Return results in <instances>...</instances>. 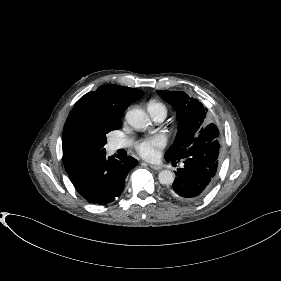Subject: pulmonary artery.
Wrapping results in <instances>:
<instances>
[{
    "instance_id": "1",
    "label": "pulmonary artery",
    "mask_w": 281,
    "mask_h": 281,
    "mask_svg": "<svg viewBox=\"0 0 281 281\" xmlns=\"http://www.w3.org/2000/svg\"><path fill=\"white\" fill-rule=\"evenodd\" d=\"M151 117L153 118V120L155 122H162L165 117H166V114L164 112H152V111H149ZM130 144V141L129 140H126V139H117L115 141H113V148L115 150L117 149H120V148H125L127 147L128 145Z\"/></svg>"
}]
</instances>
